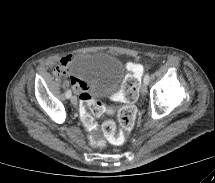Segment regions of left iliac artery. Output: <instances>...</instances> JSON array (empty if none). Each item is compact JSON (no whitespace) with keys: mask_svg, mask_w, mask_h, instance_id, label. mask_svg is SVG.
Returning a JSON list of instances; mask_svg holds the SVG:
<instances>
[{"mask_svg":"<svg viewBox=\"0 0 215 183\" xmlns=\"http://www.w3.org/2000/svg\"><path fill=\"white\" fill-rule=\"evenodd\" d=\"M149 80H150V76H149V74H146L145 77H144V82H145L146 84H148V83H149Z\"/></svg>","mask_w":215,"mask_h":183,"instance_id":"1","label":"left iliac artery"}]
</instances>
